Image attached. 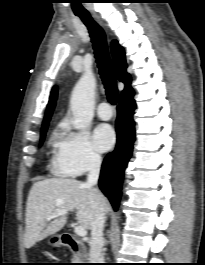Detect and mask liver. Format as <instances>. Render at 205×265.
Returning a JSON list of instances; mask_svg holds the SVG:
<instances>
[{
    "mask_svg": "<svg viewBox=\"0 0 205 265\" xmlns=\"http://www.w3.org/2000/svg\"><path fill=\"white\" fill-rule=\"evenodd\" d=\"M58 210H75L78 224L89 229L97 213L107 212L108 206L106 198L98 189L75 179L50 178L35 182L26 204V248H31L36 242L64 227L66 215L58 216L46 225L48 215Z\"/></svg>",
    "mask_w": 205,
    "mask_h": 265,
    "instance_id": "6515ba94",
    "label": "liver"
}]
</instances>
